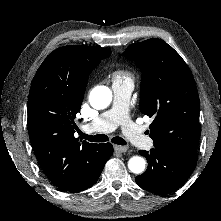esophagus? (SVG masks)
<instances>
[{
  "label": "esophagus",
  "instance_id": "34e87169",
  "mask_svg": "<svg viewBox=\"0 0 221 221\" xmlns=\"http://www.w3.org/2000/svg\"><path fill=\"white\" fill-rule=\"evenodd\" d=\"M114 149L115 151H118V152H127L129 147L128 146H120V145H114Z\"/></svg>",
  "mask_w": 221,
  "mask_h": 221
}]
</instances>
